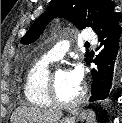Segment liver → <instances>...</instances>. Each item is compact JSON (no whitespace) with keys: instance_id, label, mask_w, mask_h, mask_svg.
<instances>
[{"instance_id":"obj_1","label":"liver","mask_w":122,"mask_h":123,"mask_svg":"<svg viewBox=\"0 0 122 123\" xmlns=\"http://www.w3.org/2000/svg\"><path fill=\"white\" fill-rule=\"evenodd\" d=\"M62 115L60 110L22 106L12 114L11 123H57Z\"/></svg>"}]
</instances>
